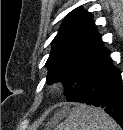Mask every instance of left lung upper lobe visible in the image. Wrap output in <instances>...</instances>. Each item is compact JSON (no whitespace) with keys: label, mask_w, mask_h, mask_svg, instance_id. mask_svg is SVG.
<instances>
[{"label":"left lung upper lobe","mask_w":123,"mask_h":130,"mask_svg":"<svg viewBox=\"0 0 123 130\" xmlns=\"http://www.w3.org/2000/svg\"><path fill=\"white\" fill-rule=\"evenodd\" d=\"M108 50L96 33L93 15L78 7L70 12L52 42L47 81H62L67 101L76 102L96 62Z\"/></svg>","instance_id":"1"}]
</instances>
